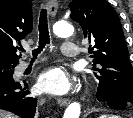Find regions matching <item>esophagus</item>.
<instances>
[{
  "label": "esophagus",
  "mask_w": 133,
  "mask_h": 118,
  "mask_svg": "<svg viewBox=\"0 0 133 118\" xmlns=\"http://www.w3.org/2000/svg\"><path fill=\"white\" fill-rule=\"evenodd\" d=\"M47 10H48V13L51 17H54L57 13V10H58V2L56 0H49L47 2ZM59 106L61 107H65L69 104L70 100L67 99V98H59L57 100Z\"/></svg>",
  "instance_id": "34e87169"
}]
</instances>
